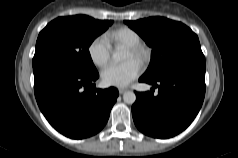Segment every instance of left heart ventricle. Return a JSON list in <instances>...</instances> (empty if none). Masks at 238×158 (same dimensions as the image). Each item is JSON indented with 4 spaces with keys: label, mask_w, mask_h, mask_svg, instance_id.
<instances>
[{
    "label": "left heart ventricle",
    "mask_w": 238,
    "mask_h": 158,
    "mask_svg": "<svg viewBox=\"0 0 238 158\" xmlns=\"http://www.w3.org/2000/svg\"><path fill=\"white\" fill-rule=\"evenodd\" d=\"M132 54L127 50L126 55H125V60H130L132 59Z\"/></svg>",
    "instance_id": "left-heart-ventricle-1"
}]
</instances>
